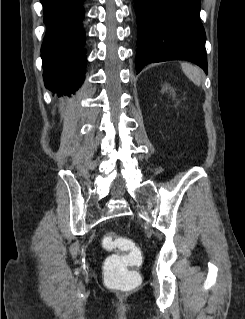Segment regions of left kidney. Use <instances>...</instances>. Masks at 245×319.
I'll return each instance as SVG.
<instances>
[{
	"instance_id": "5707ae66",
	"label": "left kidney",
	"mask_w": 245,
	"mask_h": 319,
	"mask_svg": "<svg viewBox=\"0 0 245 319\" xmlns=\"http://www.w3.org/2000/svg\"><path fill=\"white\" fill-rule=\"evenodd\" d=\"M168 89H170V87H168V85H165L164 88H163V91H167ZM171 91L174 93L173 89H171Z\"/></svg>"
}]
</instances>
